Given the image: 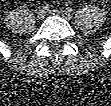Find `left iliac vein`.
<instances>
[{
	"mask_svg": "<svg viewBox=\"0 0 111 106\" xmlns=\"http://www.w3.org/2000/svg\"><path fill=\"white\" fill-rule=\"evenodd\" d=\"M51 15H58L61 17H64L65 19H71L72 16L70 13H67L66 11L63 10H53L49 12Z\"/></svg>",
	"mask_w": 111,
	"mask_h": 106,
	"instance_id": "4c4485c4",
	"label": "left iliac vein"
}]
</instances>
